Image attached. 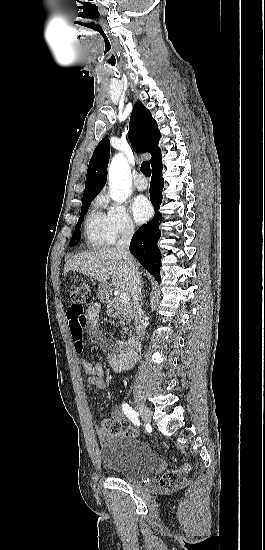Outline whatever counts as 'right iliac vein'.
Listing matches in <instances>:
<instances>
[{"mask_svg":"<svg viewBox=\"0 0 265 550\" xmlns=\"http://www.w3.org/2000/svg\"><path fill=\"white\" fill-rule=\"evenodd\" d=\"M137 409L145 422H150L152 413L151 410L143 403H137Z\"/></svg>","mask_w":265,"mask_h":550,"instance_id":"63e3f726","label":"right iliac vein"}]
</instances>
